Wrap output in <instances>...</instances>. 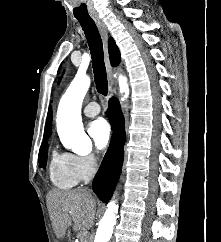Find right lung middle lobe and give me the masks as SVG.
<instances>
[{
    "label": "right lung middle lobe",
    "mask_w": 221,
    "mask_h": 242,
    "mask_svg": "<svg viewBox=\"0 0 221 242\" xmlns=\"http://www.w3.org/2000/svg\"><path fill=\"white\" fill-rule=\"evenodd\" d=\"M49 137L43 138V142L41 144L40 150H39V165L42 168L46 167V162H47V151H48V143L47 139Z\"/></svg>",
    "instance_id": "dd1d6c3e"
}]
</instances>
